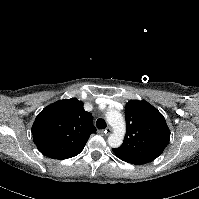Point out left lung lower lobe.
I'll use <instances>...</instances> for the list:
<instances>
[{
  "mask_svg": "<svg viewBox=\"0 0 199 199\" xmlns=\"http://www.w3.org/2000/svg\"><path fill=\"white\" fill-rule=\"evenodd\" d=\"M118 156V155H117ZM121 160L125 161V162H128V163H131V164H144V163H141L139 161H136V160H133V159H130V158H126V157H122V156H118Z\"/></svg>",
  "mask_w": 199,
  "mask_h": 199,
  "instance_id": "0a47b994",
  "label": "left lung lower lobe"
}]
</instances>
